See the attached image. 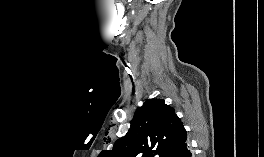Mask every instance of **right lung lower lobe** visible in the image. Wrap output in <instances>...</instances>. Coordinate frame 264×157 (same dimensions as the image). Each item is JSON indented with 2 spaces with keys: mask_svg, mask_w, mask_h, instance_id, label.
<instances>
[{
  "mask_svg": "<svg viewBox=\"0 0 264 157\" xmlns=\"http://www.w3.org/2000/svg\"><path fill=\"white\" fill-rule=\"evenodd\" d=\"M168 157H193L188 142L186 141Z\"/></svg>",
  "mask_w": 264,
  "mask_h": 157,
  "instance_id": "98d812e1",
  "label": "right lung lower lobe"
}]
</instances>
